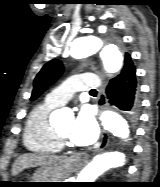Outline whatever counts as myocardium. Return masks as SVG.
Masks as SVG:
<instances>
[{
  "instance_id": "obj_1",
  "label": "myocardium",
  "mask_w": 160,
  "mask_h": 187,
  "mask_svg": "<svg viewBox=\"0 0 160 187\" xmlns=\"http://www.w3.org/2000/svg\"><path fill=\"white\" fill-rule=\"evenodd\" d=\"M55 131H56V135L58 136V138L60 140L62 148L67 149V150H73L74 146L69 141L68 137L63 135L58 129H55Z\"/></svg>"
}]
</instances>
